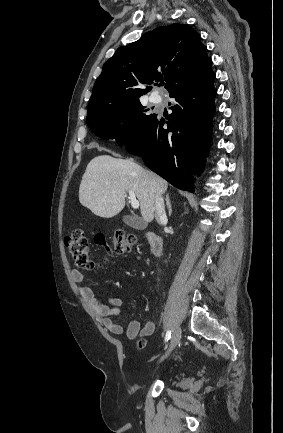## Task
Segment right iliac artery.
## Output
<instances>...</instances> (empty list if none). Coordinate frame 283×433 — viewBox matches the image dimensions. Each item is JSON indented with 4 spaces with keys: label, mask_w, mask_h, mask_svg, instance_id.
<instances>
[{
    "label": "right iliac artery",
    "mask_w": 283,
    "mask_h": 433,
    "mask_svg": "<svg viewBox=\"0 0 283 433\" xmlns=\"http://www.w3.org/2000/svg\"><path fill=\"white\" fill-rule=\"evenodd\" d=\"M170 338H171V330H168V331L166 332L165 342H167Z\"/></svg>",
    "instance_id": "82829eb1"
}]
</instances>
